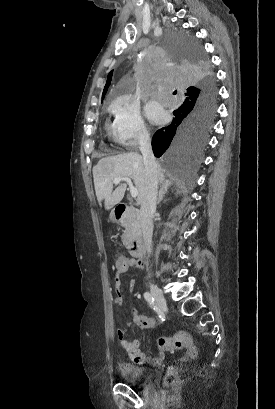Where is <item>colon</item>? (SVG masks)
<instances>
[{"label":"colon","mask_w":275,"mask_h":409,"mask_svg":"<svg viewBox=\"0 0 275 409\" xmlns=\"http://www.w3.org/2000/svg\"><path fill=\"white\" fill-rule=\"evenodd\" d=\"M114 262L117 265L118 273L124 274L125 270L128 267L126 258L124 256H116L114 259ZM158 347L164 351L174 350V349H185L186 355L189 358H196L197 356V350L193 343V340L191 339L190 335L184 330L177 331L171 337L163 338V340H160L158 342ZM176 376H177V368L170 367L164 379L165 383L169 384V383L174 382Z\"/></svg>","instance_id":"obj_1"}]
</instances>
